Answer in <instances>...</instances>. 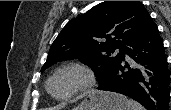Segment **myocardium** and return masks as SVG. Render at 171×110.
I'll list each match as a JSON object with an SVG mask.
<instances>
[{
  "label": "myocardium",
  "instance_id": "obj_1",
  "mask_svg": "<svg viewBox=\"0 0 171 110\" xmlns=\"http://www.w3.org/2000/svg\"><path fill=\"white\" fill-rule=\"evenodd\" d=\"M66 72H76L80 75L79 82L70 89L66 94L63 96H55L52 94L50 90V85L52 81L60 74L66 73ZM97 85V76L94 72V70L89 67L88 65L80 62H69L66 64H63L62 66L58 67L52 75L48 78L46 82V90L48 94L59 101L68 100L78 94L86 93L91 91L93 88H95Z\"/></svg>",
  "mask_w": 171,
  "mask_h": 110
}]
</instances>
